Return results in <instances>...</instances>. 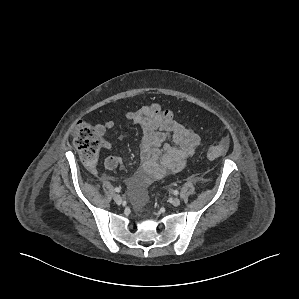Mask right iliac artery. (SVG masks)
Returning a JSON list of instances; mask_svg holds the SVG:
<instances>
[{
  "label": "right iliac artery",
  "mask_w": 299,
  "mask_h": 299,
  "mask_svg": "<svg viewBox=\"0 0 299 299\" xmlns=\"http://www.w3.org/2000/svg\"><path fill=\"white\" fill-rule=\"evenodd\" d=\"M114 190H115L116 192H120V191H121V189L118 188V187H116Z\"/></svg>",
  "instance_id": "82829eb1"
}]
</instances>
